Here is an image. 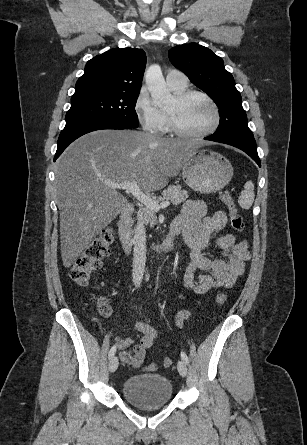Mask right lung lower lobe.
<instances>
[{
  "label": "right lung lower lobe",
  "mask_w": 307,
  "mask_h": 445,
  "mask_svg": "<svg viewBox=\"0 0 307 445\" xmlns=\"http://www.w3.org/2000/svg\"><path fill=\"white\" fill-rule=\"evenodd\" d=\"M132 128L127 124H123L107 119H87L66 123L59 139L58 147L54 157V161L62 154L65 148L80 136L102 129H129Z\"/></svg>",
  "instance_id": "98d812e1"
}]
</instances>
